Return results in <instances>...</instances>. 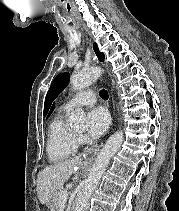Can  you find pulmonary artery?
<instances>
[{"label":"pulmonary artery","mask_w":179,"mask_h":211,"mask_svg":"<svg viewBox=\"0 0 179 211\" xmlns=\"http://www.w3.org/2000/svg\"><path fill=\"white\" fill-rule=\"evenodd\" d=\"M96 102V95L92 90H84L63 105L64 110H71L77 106L92 105Z\"/></svg>","instance_id":"1"}]
</instances>
